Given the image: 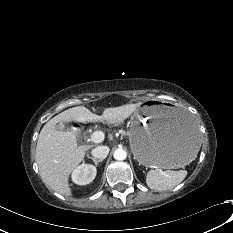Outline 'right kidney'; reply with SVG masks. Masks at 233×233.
<instances>
[{
	"instance_id": "1",
	"label": "right kidney",
	"mask_w": 233,
	"mask_h": 233,
	"mask_svg": "<svg viewBox=\"0 0 233 233\" xmlns=\"http://www.w3.org/2000/svg\"><path fill=\"white\" fill-rule=\"evenodd\" d=\"M96 167L90 164H81L72 173V180L78 185L91 183L96 177Z\"/></svg>"
}]
</instances>
